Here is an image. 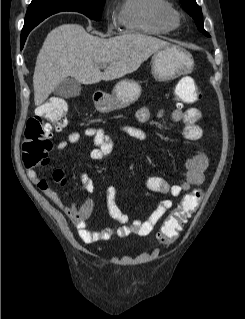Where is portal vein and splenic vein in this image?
<instances>
[{"label":"portal vein and splenic vein","instance_id":"18ae733b","mask_svg":"<svg viewBox=\"0 0 245 319\" xmlns=\"http://www.w3.org/2000/svg\"><path fill=\"white\" fill-rule=\"evenodd\" d=\"M100 67L104 69V68H106V65L102 64Z\"/></svg>","mask_w":245,"mask_h":319}]
</instances>
